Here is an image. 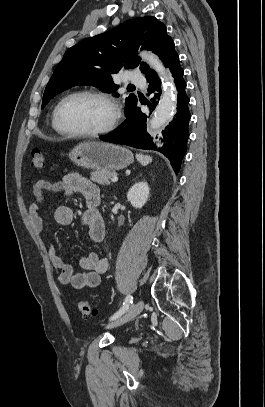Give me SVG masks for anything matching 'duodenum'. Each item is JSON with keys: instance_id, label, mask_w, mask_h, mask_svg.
<instances>
[{"instance_id": "1", "label": "duodenum", "mask_w": 265, "mask_h": 407, "mask_svg": "<svg viewBox=\"0 0 265 407\" xmlns=\"http://www.w3.org/2000/svg\"><path fill=\"white\" fill-rule=\"evenodd\" d=\"M92 206L97 208L100 205V199H95L92 201Z\"/></svg>"}]
</instances>
